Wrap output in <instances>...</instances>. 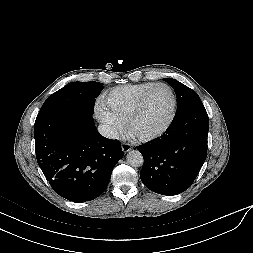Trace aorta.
<instances>
[{
    "instance_id": "aorta-1",
    "label": "aorta",
    "mask_w": 253,
    "mask_h": 253,
    "mask_svg": "<svg viewBox=\"0 0 253 253\" xmlns=\"http://www.w3.org/2000/svg\"><path fill=\"white\" fill-rule=\"evenodd\" d=\"M127 162L132 167H140L144 163L143 155L138 150H131L126 156Z\"/></svg>"
}]
</instances>
